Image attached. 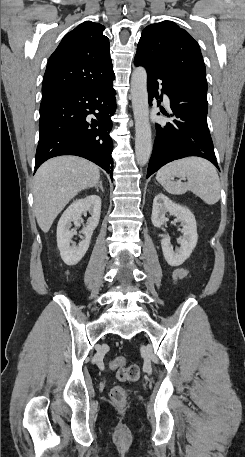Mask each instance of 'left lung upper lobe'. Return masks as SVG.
<instances>
[{"instance_id": "1", "label": "left lung upper lobe", "mask_w": 245, "mask_h": 457, "mask_svg": "<svg viewBox=\"0 0 245 457\" xmlns=\"http://www.w3.org/2000/svg\"><path fill=\"white\" fill-rule=\"evenodd\" d=\"M135 57L160 66L183 86L182 96L207 105L206 69L198 43L172 21L144 28Z\"/></svg>"}]
</instances>
